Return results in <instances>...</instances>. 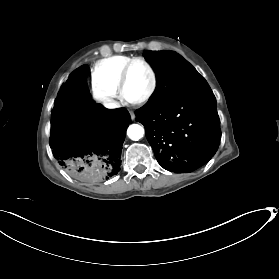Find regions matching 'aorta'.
Masks as SVG:
<instances>
[{
	"label": "aorta",
	"mask_w": 279,
	"mask_h": 279,
	"mask_svg": "<svg viewBox=\"0 0 279 279\" xmlns=\"http://www.w3.org/2000/svg\"><path fill=\"white\" fill-rule=\"evenodd\" d=\"M127 135L131 140L137 141L144 135V128L138 124H132L127 129Z\"/></svg>",
	"instance_id": "762f6f07"
}]
</instances>
